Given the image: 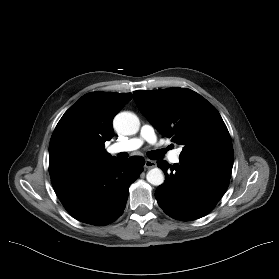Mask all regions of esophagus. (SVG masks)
Wrapping results in <instances>:
<instances>
[{
	"mask_svg": "<svg viewBox=\"0 0 279 279\" xmlns=\"http://www.w3.org/2000/svg\"><path fill=\"white\" fill-rule=\"evenodd\" d=\"M145 167L148 168V169L154 168V167H156V162L152 161L150 159H146Z\"/></svg>",
	"mask_w": 279,
	"mask_h": 279,
	"instance_id": "1",
	"label": "esophagus"
}]
</instances>
